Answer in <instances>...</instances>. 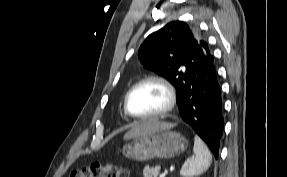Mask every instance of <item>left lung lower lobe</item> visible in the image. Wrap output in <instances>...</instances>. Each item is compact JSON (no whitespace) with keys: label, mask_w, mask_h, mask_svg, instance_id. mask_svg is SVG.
Segmentation results:
<instances>
[{"label":"left lung lower lobe","mask_w":287,"mask_h":177,"mask_svg":"<svg viewBox=\"0 0 287 177\" xmlns=\"http://www.w3.org/2000/svg\"><path fill=\"white\" fill-rule=\"evenodd\" d=\"M178 109L182 119L205 141L217 159L224 119L213 56L185 86Z\"/></svg>","instance_id":"left-lung-lower-lobe-1"}]
</instances>
